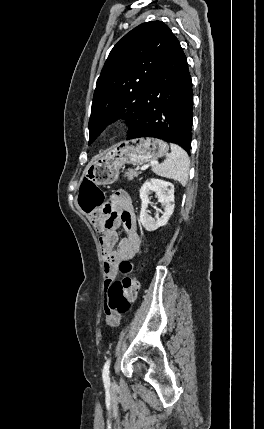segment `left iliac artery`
<instances>
[{
  "instance_id": "44dca946",
  "label": "left iliac artery",
  "mask_w": 264,
  "mask_h": 429,
  "mask_svg": "<svg viewBox=\"0 0 264 429\" xmlns=\"http://www.w3.org/2000/svg\"><path fill=\"white\" fill-rule=\"evenodd\" d=\"M111 359H108L103 367L102 372V378L105 385L110 384V378H109V367H110Z\"/></svg>"
}]
</instances>
